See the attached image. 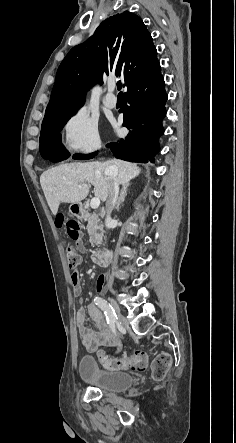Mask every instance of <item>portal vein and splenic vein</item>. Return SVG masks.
Returning <instances> with one entry per match:
<instances>
[{
    "instance_id": "obj_1",
    "label": "portal vein and splenic vein",
    "mask_w": 236,
    "mask_h": 443,
    "mask_svg": "<svg viewBox=\"0 0 236 443\" xmlns=\"http://www.w3.org/2000/svg\"><path fill=\"white\" fill-rule=\"evenodd\" d=\"M82 186L79 185L78 188H81ZM90 206L92 209H97L100 206V199L99 198H93L90 202Z\"/></svg>"
}]
</instances>
